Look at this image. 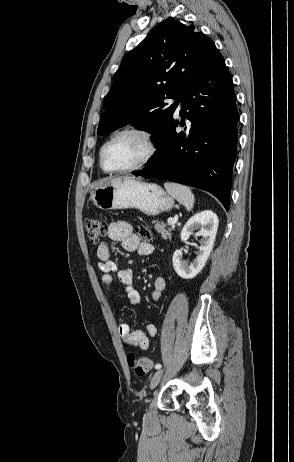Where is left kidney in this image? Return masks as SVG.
I'll list each match as a JSON object with an SVG mask.
<instances>
[{"label": "left kidney", "instance_id": "1", "mask_svg": "<svg viewBox=\"0 0 294 462\" xmlns=\"http://www.w3.org/2000/svg\"><path fill=\"white\" fill-rule=\"evenodd\" d=\"M219 220L211 210H205L192 216L181 232V240L187 241L194 230L197 236H201L200 246L198 247L197 257L188 265L183 260L182 250H176L173 254V266L176 273L184 279L194 278L205 266L212 251Z\"/></svg>", "mask_w": 294, "mask_h": 462}]
</instances>
